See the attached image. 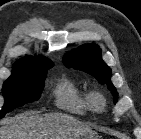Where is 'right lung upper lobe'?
<instances>
[{
    "label": "right lung upper lobe",
    "instance_id": "right-lung-upper-lobe-1",
    "mask_svg": "<svg viewBox=\"0 0 141 139\" xmlns=\"http://www.w3.org/2000/svg\"><path fill=\"white\" fill-rule=\"evenodd\" d=\"M48 65H53V63L45 57L27 56L16 61L13 65V70L30 67H43Z\"/></svg>",
    "mask_w": 141,
    "mask_h": 139
}]
</instances>
